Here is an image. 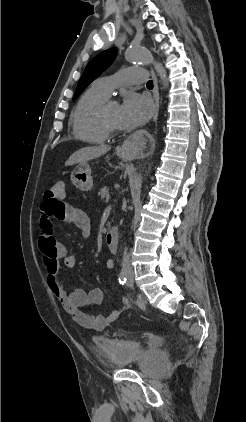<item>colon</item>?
Returning <instances> with one entry per match:
<instances>
[{"instance_id":"colon-1","label":"colon","mask_w":246,"mask_h":422,"mask_svg":"<svg viewBox=\"0 0 246 422\" xmlns=\"http://www.w3.org/2000/svg\"><path fill=\"white\" fill-rule=\"evenodd\" d=\"M66 197V187L64 182L55 181L44 193V202L49 210L53 211L63 204Z\"/></svg>"}]
</instances>
